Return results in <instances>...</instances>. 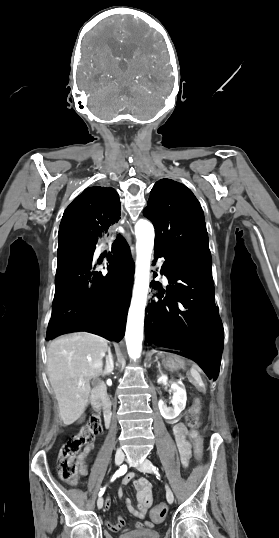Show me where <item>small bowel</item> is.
Returning a JSON list of instances; mask_svg holds the SVG:
<instances>
[{
    "label": "small bowel",
    "instance_id": "small-bowel-1",
    "mask_svg": "<svg viewBox=\"0 0 279 538\" xmlns=\"http://www.w3.org/2000/svg\"><path fill=\"white\" fill-rule=\"evenodd\" d=\"M173 434L176 441V445L180 454L181 462L184 467L188 466L190 455H191V444L188 441V430L182 423H177L173 427ZM93 449L92 444H88L85 446L83 452L80 454L78 458V464L80 466V469L84 474H86L87 471V463L88 458L90 455V452ZM135 474L133 472L127 473L123 478V484L126 485L130 482H133V485L136 489V497L138 501V509L136 510L133 505L132 501L129 498L125 499V505L129 513H131L134 517L138 518L140 521H137L133 527V531H139L144 530L146 528H151L152 523L150 521L144 520L147 516L148 510L152 505L153 502V488L152 485L146 480V479H134ZM123 491L120 488L118 490V497L122 498ZM112 504V501L110 497L106 498L105 501V508L109 509ZM107 526L110 530L118 532L122 531L125 527V519L122 516L117 517L115 522H107Z\"/></svg>",
    "mask_w": 279,
    "mask_h": 538
}]
</instances>
